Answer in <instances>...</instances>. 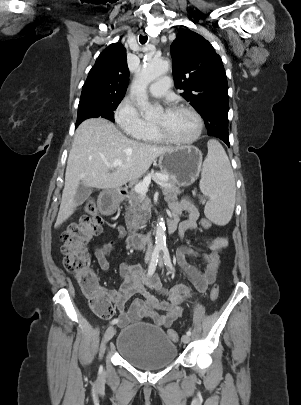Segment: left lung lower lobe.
Returning a JSON list of instances; mask_svg holds the SVG:
<instances>
[{"mask_svg":"<svg viewBox=\"0 0 301 405\" xmlns=\"http://www.w3.org/2000/svg\"><path fill=\"white\" fill-rule=\"evenodd\" d=\"M218 138L223 140L229 146V135H220Z\"/></svg>","mask_w":301,"mask_h":405,"instance_id":"0a47b994","label":"left lung lower lobe"}]
</instances>
